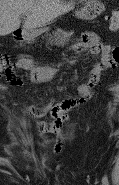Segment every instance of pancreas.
<instances>
[{
    "label": "pancreas",
    "instance_id": "pancreas-1",
    "mask_svg": "<svg viewBox=\"0 0 119 185\" xmlns=\"http://www.w3.org/2000/svg\"><path fill=\"white\" fill-rule=\"evenodd\" d=\"M72 33H67L64 31H56L49 35V43L56 46H65L70 41Z\"/></svg>",
    "mask_w": 119,
    "mask_h": 185
}]
</instances>
